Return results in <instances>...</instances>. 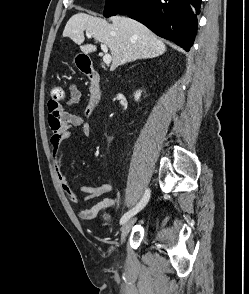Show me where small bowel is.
<instances>
[{"instance_id":"c3829d8e","label":"small bowel","mask_w":249,"mask_h":294,"mask_svg":"<svg viewBox=\"0 0 249 294\" xmlns=\"http://www.w3.org/2000/svg\"><path fill=\"white\" fill-rule=\"evenodd\" d=\"M81 99V91L75 85L69 86V95L64 104L48 103V122L52 129L50 137L51 156L53 167L57 176L59 185L64 192L66 198L73 204H84L108 194L112 190L110 183H104L100 186H92L88 184H80L78 189L83 195L77 194L73 190L72 182L68 179L62 170L63 159V142L74 136L73 128L78 129V133L89 137L91 134V126L85 122L79 115L71 114L66 111L67 106L77 104ZM120 203L119 196L105 197L99 202L88 208L78 211V216L83 221H91L97 217H101L100 226L108 227L111 224V216L107 214V209L118 206Z\"/></svg>"}]
</instances>
